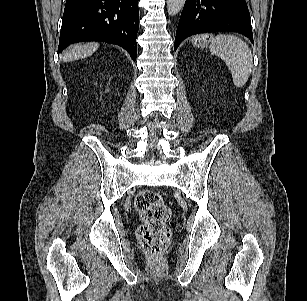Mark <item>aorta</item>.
Here are the masks:
<instances>
[{"label":"aorta","mask_w":307,"mask_h":301,"mask_svg":"<svg viewBox=\"0 0 307 301\" xmlns=\"http://www.w3.org/2000/svg\"><path fill=\"white\" fill-rule=\"evenodd\" d=\"M185 4V0H167V11L170 16L178 14Z\"/></svg>","instance_id":"762f6f07"}]
</instances>
